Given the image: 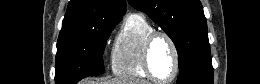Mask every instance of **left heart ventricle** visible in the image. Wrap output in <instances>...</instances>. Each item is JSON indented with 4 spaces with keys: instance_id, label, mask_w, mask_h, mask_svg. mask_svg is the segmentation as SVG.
<instances>
[{
    "instance_id": "left-heart-ventricle-1",
    "label": "left heart ventricle",
    "mask_w": 260,
    "mask_h": 84,
    "mask_svg": "<svg viewBox=\"0 0 260 84\" xmlns=\"http://www.w3.org/2000/svg\"><path fill=\"white\" fill-rule=\"evenodd\" d=\"M151 68L155 76L161 80L169 79L174 71V55L169 42L158 37L153 42L150 55Z\"/></svg>"
}]
</instances>
